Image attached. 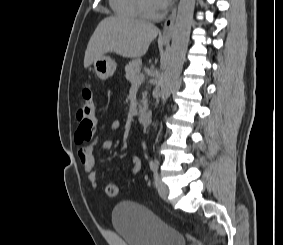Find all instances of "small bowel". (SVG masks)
Masks as SVG:
<instances>
[{"instance_id":"c3829d8e","label":"small bowel","mask_w":283,"mask_h":245,"mask_svg":"<svg viewBox=\"0 0 283 245\" xmlns=\"http://www.w3.org/2000/svg\"><path fill=\"white\" fill-rule=\"evenodd\" d=\"M121 126L122 124L120 120H114L110 124L108 132H114L120 129ZM101 137L102 135L98 136L92 143L81 147L78 151V156L82 164L83 171L87 175L88 182L93 189H96L98 185L97 174L94 171V163H95L94 149ZM112 147H113L112 140L105 139L102 141V148L105 151L111 150ZM131 161H132L131 173L133 175L139 174L141 170V160L137 156H132Z\"/></svg>"}]
</instances>
